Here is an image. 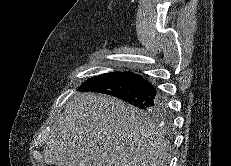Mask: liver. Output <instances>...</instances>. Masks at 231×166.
Listing matches in <instances>:
<instances>
[{
  "label": "liver",
  "mask_w": 231,
  "mask_h": 166,
  "mask_svg": "<svg viewBox=\"0 0 231 166\" xmlns=\"http://www.w3.org/2000/svg\"><path fill=\"white\" fill-rule=\"evenodd\" d=\"M168 141L143 111L103 94L71 98L45 146L55 166H166Z\"/></svg>",
  "instance_id": "obj_1"
}]
</instances>
